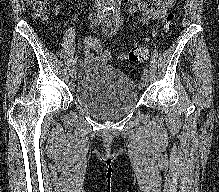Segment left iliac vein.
<instances>
[{
    "instance_id": "1",
    "label": "left iliac vein",
    "mask_w": 219,
    "mask_h": 192,
    "mask_svg": "<svg viewBox=\"0 0 219 192\" xmlns=\"http://www.w3.org/2000/svg\"><path fill=\"white\" fill-rule=\"evenodd\" d=\"M112 15L109 13L107 15L104 16L103 18V25H110L111 24V21H112ZM142 80H143V83L142 85L140 86V89H143V87H145L147 85V83L149 82V75L146 74V73H143L142 74Z\"/></svg>"
}]
</instances>
